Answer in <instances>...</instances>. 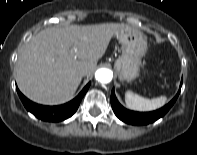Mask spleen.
<instances>
[{
    "mask_svg": "<svg viewBox=\"0 0 197 155\" xmlns=\"http://www.w3.org/2000/svg\"><path fill=\"white\" fill-rule=\"evenodd\" d=\"M167 101L166 96L158 98L146 99L132 91H126L125 102L128 108L136 111H152L162 107Z\"/></svg>",
    "mask_w": 197,
    "mask_h": 155,
    "instance_id": "3e777b00",
    "label": "spleen"
}]
</instances>
